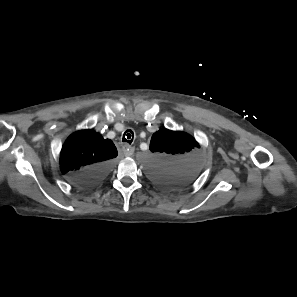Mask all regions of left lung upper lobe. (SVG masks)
<instances>
[{
    "mask_svg": "<svg viewBox=\"0 0 297 297\" xmlns=\"http://www.w3.org/2000/svg\"><path fill=\"white\" fill-rule=\"evenodd\" d=\"M197 148L199 144L189 134L160 129L150 142L149 175L165 187L190 183L201 168L202 157Z\"/></svg>",
    "mask_w": 297,
    "mask_h": 297,
    "instance_id": "left-lung-upper-lobe-1",
    "label": "left lung upper lobe"
}]
</instances>
